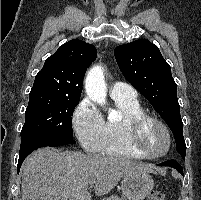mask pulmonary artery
Wrapping results in <instances>:
<instances>
[{
  "instance_id": "pulmonary-artery-1",
  "label": "pulmonary artery",
  "mask_w": 201,
  "mask_h": 200,
  "mask_svg": "<svg viewBox=\"0 0 201 200\" xmlns=\"http://www.w3.org/2000/svg\"><path fill=\"white\" fill-rule=\"evenodd\" d=\"M111 97H122L128 99H136V91L126 83L114 82L110 89Z\"/></svg>"
}]
</instances>
